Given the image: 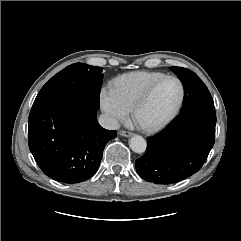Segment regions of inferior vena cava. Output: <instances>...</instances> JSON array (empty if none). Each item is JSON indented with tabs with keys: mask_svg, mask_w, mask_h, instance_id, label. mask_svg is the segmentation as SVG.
<instances>
[{
	"mask_svg": "<svg viewBox=\"0 0 241 241\" xmlns=\"http://www.w3.org/2000/svg\"><path fill=\"white\" fill-rule=\"evenodd\" d=\"M98 122L105 129L117 130L120 128L118 120L106 113L99 116Z\"/></svg>",
	"mask_w": 241,
	"mask_h": 241,
	"instance_id": "obj_1",
	"label": "inferior vena cava"
}]
</instances>
